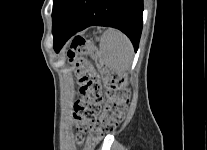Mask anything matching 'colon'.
<instances>
[{
    "label": "colon",
    "instance_id": "1",
    "mask_svg": "<svg viewBox=\"0 0 207 150\" xmlns=\"http://www.w3.org/2000/svg\"><path fill=\"white\" fill-rule=\"evenodd\" d=\"M67 55L71 60L77 55L94 57L107 88V99L103 105L100 74L89 60L81 58L77 61L76 75L82 98L74 104L76 140L92 147L123 121L130 100L127 78L106 63L96 47L83 37L73 40Z\"/></svg>",
    "mask_w": 207,
    "mask_h": 150
}]
</instances>
